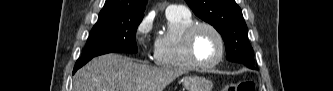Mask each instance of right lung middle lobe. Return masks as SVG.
I'll return each mask as SVG.
<instances>
[{
    "instance_id": "obj_1",
    "label": "right lung middle lobe",
    "mask_w": 333,
    "mask_h": 91,
    "mask_svg": "<svg viewBox=\"0 0 333 91\" xmlns=\"http://www.w3.org/2000/svg\"><path fill=\"white\" fill-rule=\"evenodd\" d=\"M142 19L143 16L98 18L81 58H93L111 52L136 53L135 33Z\"/></svg>"
}]
</instances>
